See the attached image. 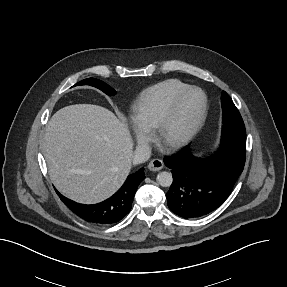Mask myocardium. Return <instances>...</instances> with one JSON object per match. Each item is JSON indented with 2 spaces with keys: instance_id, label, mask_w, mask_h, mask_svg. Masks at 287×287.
<instances>
[{
  "instance_id": "1",
  "label": "myocardium",
  "mask_w": 287,
  "mask_h": 287,
  "mask_svg": "<svg viewBox=\"0 0 287 287\" xmlns=\"http://www.w3.org/2000/svg\"><path fill=\"white\" fill-rule=\"evenodd\" d=\"M190 93H197L199 95V104L196 114L190 124L177 136L170 138L168 130L170 123L176 114L181 100ZM207 111V97L205 93L198 87L188 86L182 91L178 92L171 100L164 115L156 127V136L158 141L164 146L177 149L184 146L198 131L204 122Z\"/></svg>"
}]
</instances>
